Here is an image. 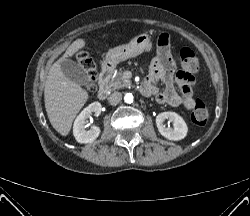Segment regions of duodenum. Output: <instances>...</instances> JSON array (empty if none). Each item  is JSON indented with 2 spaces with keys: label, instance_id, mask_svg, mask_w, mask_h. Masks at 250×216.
I'll return each mask as SVG.
<instances>
[{
  "label": "duodenum",
  "instance_id": "duodenum-1",
  "mask_svg": "<svg viewBox=\"0 0 250 216\" xmlns=\"http://www.w3.org/2000/svg\"><path fill=\"white\" fill-rule=\"evenodd\" d=\"M111 71V66L108 63H104L101 66L100 72H99V89H98V97L101 100L106 99V97L109 94V86L107 83V78L109 76V73Z\"/></svg>",
  "mask_w": 250,
  "mask_h": 216
}]
</instances>
